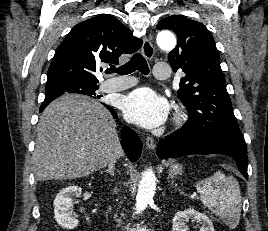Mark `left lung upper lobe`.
Returning a JSON list of instances; mask_svg holds the SVG:
<instances>
[{"label": "left lung upper lobe", "mask_w": 268, "mask_h": 231, "mask_svg": "<svg viewBox=\"0 0 268 231\" xmlns=\"http://www.w3.org/2000/svg\"><path fill=\"white\" fill-rule=\"evenodd\" d=\"M157 29H170L177 34L178 43L168 59L174 71L182 69L186 73L178 90L189 111V120L183 128L245 144L226 90L219 53L208 29L200 22L178 15L162 19Z\"/></svg>", "instance_id": "5c2ea615"}]
</instances>
